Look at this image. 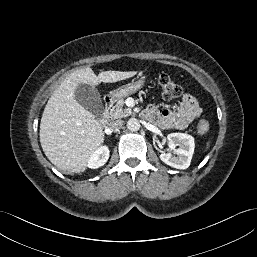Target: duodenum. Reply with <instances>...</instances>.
Instances as JSON below:
<instances>
[{
    "label": "duodenum",
    "instance_id": "duodenum-1",
    "mask_svg": "<svg viewBox=\"0 0 257 257\" xmlns=\"http://www.w3.org/2000/svg\"><path fill=\"white\" fill-rule=\"evenodd\" d=\"M112 103L113 101L110 97L105 98V107L107 110L111 107ZM108 120H109V113L108 111H105L104 114L99 118V125L102 128L106 127L108 125Z\"/></svg>",
    "mask_w": 257,
    "mask_h": 257
}]
</instances>
